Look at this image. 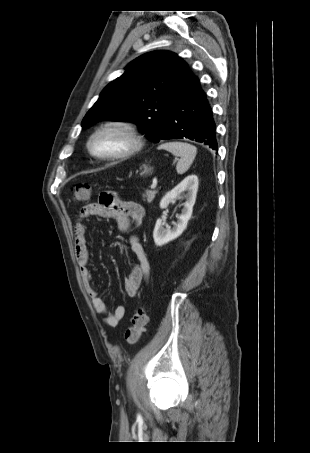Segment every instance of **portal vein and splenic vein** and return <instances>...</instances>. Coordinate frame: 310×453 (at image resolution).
I'll use <instances>...</instances> for the list:
<instances>
[{"label":"portal vein and splenic vein","instance_id":"obj_1","mask_svg":"<svg viewBox=\"0 0 310 453\" xmlns=\"http://www.w3.org/2000/svg\"><path fill=\"white\" fill-rule=\"evenodd\" d=\"M156 186H157V180L154 179V180H153V183L151 184V189H155Z\"/></svg>","mask_w":310,"mask_h":453}]
</instances>
